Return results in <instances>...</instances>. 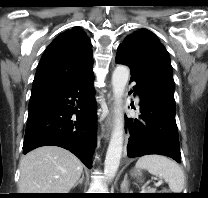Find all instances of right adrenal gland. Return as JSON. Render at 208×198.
<instances>
[{
    "label": "right adrenal gland",
    "mask_w": 208,
    "mask_h": 198,
    "mask_svg": "<svg viewBox=\"0 0 208 198\" xmlns=\"http://www.w3.org/2000/svg\"><path fill=\"white\" fill-rule=\"evenodd\" d=\"M83 179H84V172H82L81 178L75 183L74 188H75L78 184H82V183H83Z\"/></svg>",
    "instance_id": "1"
}]
</instances>
